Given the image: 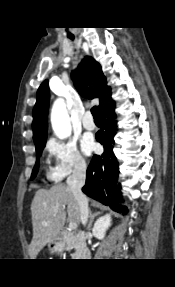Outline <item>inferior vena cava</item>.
<instances>
[{"mask_svg": "<svg viewBox=\"0 0 175 287\" xmlns=\"http://www.w3.org/2000/svg\"><path fill=\"white\" fill-rule=\"evenodd\" d=\"M86 179V163L81 160L74 167L72 175L67 178V185L71 190L80 209V218L83 225H86L88 220V200L82 192V187Z\"/></svg>", "mask_w": 175, "mask_h": 287, "instance_id": "602c4592", "label": "inferior vena cava"}]
</instances>
